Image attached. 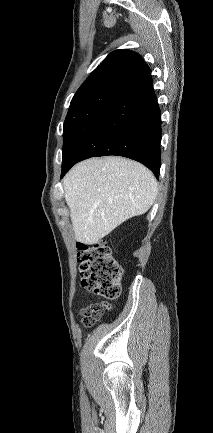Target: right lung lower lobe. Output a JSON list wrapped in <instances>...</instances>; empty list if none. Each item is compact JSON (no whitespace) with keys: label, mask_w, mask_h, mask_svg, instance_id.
Masks as SVG:
<instances>
[{"label":"right lung lower lobe","mask_w":213,"mask_h":433,"mask_svg":"<svg viewBox=\"0 0 213 433\" xmlns=\"http://www.w3.org/2000/svg\"><path fill=\"white\" fill-rule=\"evenodd\" d=\"M160 117L149 73L122 91L87 124L62 157L61 178L78 161L106 155L136 160L158 178Z\"/></svg>","instance_id":"98d812e1"}]
</instances>
